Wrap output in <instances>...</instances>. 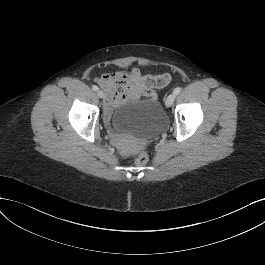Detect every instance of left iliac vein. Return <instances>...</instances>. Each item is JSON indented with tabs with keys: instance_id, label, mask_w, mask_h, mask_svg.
Listing matches in <instances>:
<instances>
[{
	"instance_id": "1",
	"label": "left iliac vein",
	"mask_w": 265,
	"mask_h": 265,
	"mask_svg": "<svg viewBox=\"0 0 265 265\" xmlns=\"http://www.w3.org/2000/svg\"><path fill=\"white\" fill-rule=\"evenodd\" d=\"M175 98H176V94H175L174 92L171 93V94L167 97V99H166V101H165V105H166V107H170V106L173 104Z\"/></svg>"
}]
</instances>
